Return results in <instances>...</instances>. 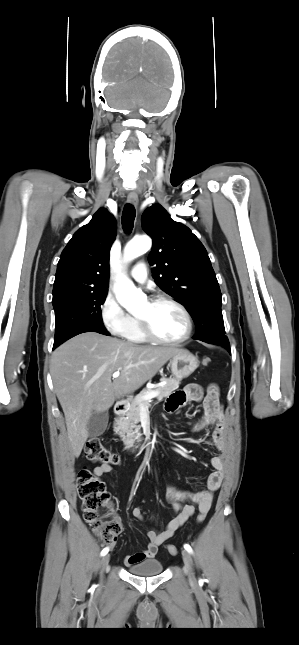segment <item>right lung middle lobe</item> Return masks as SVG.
<instances>
[{"label":"right lung middle lobe","instance_id":"obj_1","mask_svg":"<svg viewBox=\"0 0 299 645\" xmlns=\"http://www.w3.org/2000/svg\"><path fill=\"white\" fill-rule=\"evenodd\" d=\"M106 295L107 291L70 292L54 299V344H60L84 329L107 331L101 318V305Z\"/></svg>","mask_w":299,"mask_h":645}]
</instances>
